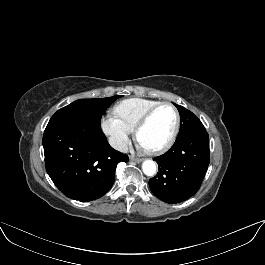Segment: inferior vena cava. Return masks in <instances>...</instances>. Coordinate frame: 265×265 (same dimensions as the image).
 I'll use <instances>...</instances> for the list:
<instances>
[{
  "label": "inferior vena cava",
  "instance_id": "602c4592",
  "mask_svg": "<svg viewBox=\"0 0 265 265\" xmlns=\"http://www.w3.org/2000/svg\"><path fill=\"white\" fill-rule=\"evenodd\" d=\"M109 144L116 150L120 152H127L128 147L126 141L116 138V137H109Z\"/></svg>",
  "mask_w": 265,
  "mask_h": 265
}]
</instances>
